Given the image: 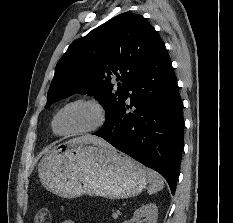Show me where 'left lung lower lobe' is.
Returning <instances> with one entry per match:
<instances>
[{"mask_svg":"<svg viewBox=\"0 0 233 223\" xmlns=\"http://www.w3.org/2000/svg\"><path fill=\"white\" fill-rule=\"evenodd\" d=\"M131 91L130 105L93 135L159 172L174 195L183 149V104L161 39ZM129 108L132 112L126 113Z\"/></svg>","mask_w":233,"mask_h":223,"instance_id":"obj_1","label":"left lung lower lobe"}]
</instances>
